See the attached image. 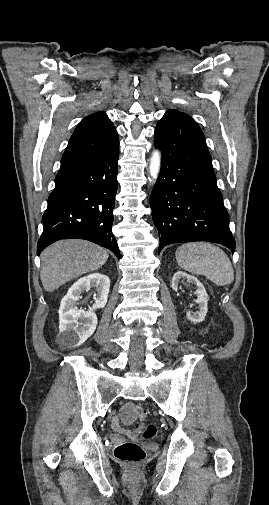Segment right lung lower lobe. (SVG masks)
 <instances>
[{"instance_id":"98d812e1","label":"right lung lower lobe","mask_w":269,"mask_h":505,"mask_svg":"<svg viewBox=\"0 0 269 505\" xmlns=\"http://www.w3.org/2000/svg\"><path fill=\"white\" fill-rule=\"evenodd\" d=\"M118 158L119 143L98 156L60 167L43 214L38 255L55 241L79 238L108 248L120 258L111 230Z\"/></svg>"}]
</instances>
